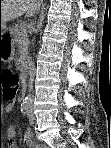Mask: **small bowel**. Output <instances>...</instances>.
<instances>
[{"instance_id": "c3829d8e", "label": "small bowel", "mask_w": 111, "mask_h": 148, "mask_svg": "<svg viewBox=\"0 0 111 148\" xmlns=\"http://www.w3.org/2000/svg\"><path fill=\"white\" fill-rule=\"evenodd\" d=\"M14 109V103H10L7 105L6 107V111L7 112H12ZM6 137H7V141H8V147L9 148H17L18 146L16 145L15 141H14V137H15V130L13 127H8L6 130ZM24 139L25 142L27 143V145L29 147L32 148H39L40 146L37 144L35 138H34V134L31 130H27L24 134Z\"/></svg>"}]
</instances>
